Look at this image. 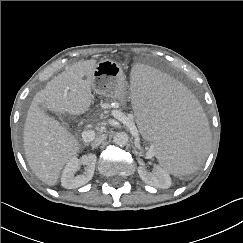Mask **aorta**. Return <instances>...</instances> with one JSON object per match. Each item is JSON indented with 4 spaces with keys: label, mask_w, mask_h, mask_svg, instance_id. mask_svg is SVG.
<instances>
[{
    "label": "aorta",
    "mask_w": 243,
    "mask_h": 243,
    "mask_svg": "<svg viewBox=\"0 0 243 243\" xmlns=\"http://www.w3.org/2000/svg\"><path fill=\"white\" fill-rule=\"evenodd\" d=\"M129 141V137L128 134L121 131V132H117L114 137H113V142L117 145V146H125L127 145Z\"/></svg>",
    "instance_id": "762f6f07"
}]
</instances>
